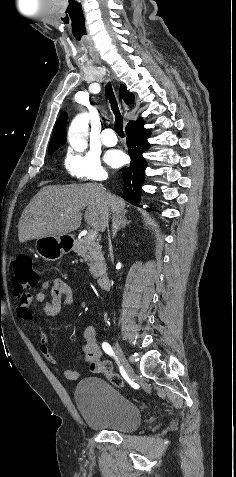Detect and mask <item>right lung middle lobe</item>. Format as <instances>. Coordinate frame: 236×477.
<instances>
[{
	"instance_id": "right-lung-middle-lobe-1",
	"label": "right lung middle lobe",
	"mask_w": 236,
	"mask_h": 477,
	"mask_svg": "<svg viewBox=\"0 0 236 477\" xmlns=\"http://www.w3.org/2000/svg\"><path fill=\"white\" fill-rule=\"evenodd\" d=\"M58 148H59V147L54 148V149H51V150L48 151V153H49V154H52V153H53L56 149H58Z\"/></svg>"
}]
</instances>
